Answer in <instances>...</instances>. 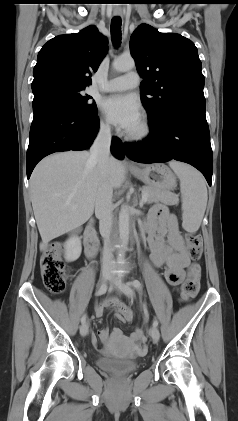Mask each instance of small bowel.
<instances>
[{
  "mask_svg": "<svg viewBox=\"0 0 238 421\" xmlns=\"http://www.w3.org/2000/svg\"><path fill=\"white\" fill-rule=\"evenodd\" d=\"M145 229L151 250V262L155 267H165V277L171 285H179L185 277L190 275L195 264L189 260L177 217L165 206H155L148 215ZM105 309H111L119 321L133 319L132 311L116 298H108L97 306L96 316L102 317ZM97 333L104 344L122 343L136 348L137 343L143 340L140 328L134 330L129 337L124 336L118 328L111 332L103 328ZM91 341L99 347L96 335H92ZM101 350L106 351V349Z\"/></svg>",
  "mask_w": 238,
  "mask_h": 421,
  "instance_id": "small-bowel-1",
  "label": "small bowel"
}]
</instances>
